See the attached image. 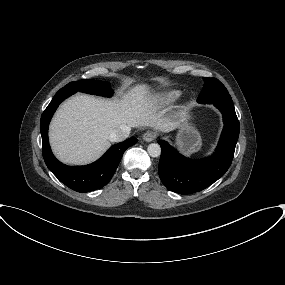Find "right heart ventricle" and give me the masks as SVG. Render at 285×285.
Returning a JSON list of instances; mask_svg holds the SVG:
<instances>
[{"label": "right heart ventricle", "mask_w": 285, "mask_h": 285, "mask_svg": "<svg viewBox=\"0 0 285 285\" xmlns=\"http://www.w3.org/2000/svg\"><path fill=\"white\" fill-rule=\"evenodd\" d=\"M181 93L179 91H169L161 95L160 100L163 103H171L180 97Z\"/></svg>", "instance_id": "e07e8e85"}]
</instances>
